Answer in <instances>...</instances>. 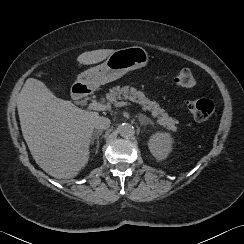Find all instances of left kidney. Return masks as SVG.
I'll return each mask as SVG.
<instances>
[{"mask_svg": "<svg viewBox=\"0 0 244 244\" xmlns=\"http://www.w3.org/2000/svg\"><path fill=\"white\" fill-rule=\"evenodd\" d=\"M174 139L168 132H156L148 142L151 154L158 160H164L173 149Z\"/></svg>", "mask_w": 244, "mask_h": 244, "instance_id": "obj_1", "label": "left kidney"}]
</instances>
